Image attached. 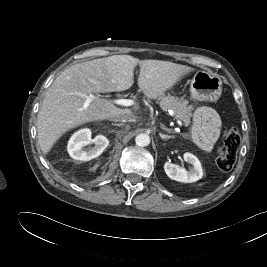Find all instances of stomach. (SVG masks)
<instances>
[{"label":"stomach","instance_id":"obj_1","mask_svg":"<svg viewBox=\"0 0 267 267\" xmlns=\"http://www.w3.org/2000/svg\"><path fill=\"white\" fill-rule=\"evenodd\" d=\"M190 92L196 101H217L222 93V80L218 75L197 71L191 80Z\"/></svg>","mask_w":267,"mask_h":267}]
</instances>
